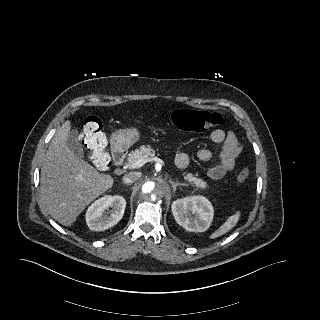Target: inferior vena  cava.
<instances>
[{
	"mask_svg": "<svg viewBox=\"0 0 320 320\" xmlns=\"http://www.w3.org/2000/svg\"><path fill=\"white\" fill-rule=\"evenodd\" d=\"M141 176L139 172H129L123 176V181L125 183H134L137 181Z\"/></svg>",
	"mask_w": 320,
	"mask_h": 320,
	"instance_id": "1",
	"label": "inferior vena cava"
}]
</instances>
